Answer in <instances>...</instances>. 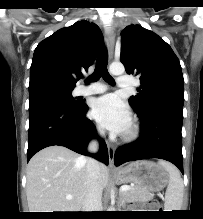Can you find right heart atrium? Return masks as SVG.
Masks as SVG:
<instances>
[{"instance_id": "obj_1", "label": "right heart atrium", "mask_w": 203, "mask_h": 219, "mask_svg": "<svg viewBox=\"0 0 203 219\" xmlns=\"http://www.w3.org/2000/svg\"><path fill=\"white\" fill-rule=\"evenodd\" d=\"M97 132L99 133V132H100V130H99V129H97Z\"/></svg>"}]
</instances>
